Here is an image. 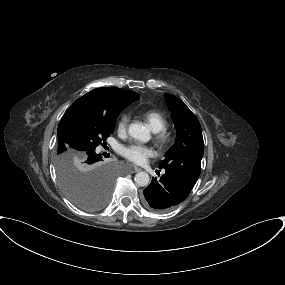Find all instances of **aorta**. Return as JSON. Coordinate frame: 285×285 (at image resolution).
<instances>
[{
	"label": "aorta",
	"instance_id": "aorta-1",
	"mask_svg": "<svg viewBox=\"0 0 285 285\" xmlns=\"http://www.w3.org/2000/svg\"><path fill=\"white\" fill-rule=\"evenodd\" d=\"M128 134L141 142H147L150 140V129L141 123H132L129 125ZM150 177L146 172H139L135 175V182L138 186H147L149 184Z\"/></svg>",
	"mask_w": 285,
	"mask_h": 285
}]
</instances>
